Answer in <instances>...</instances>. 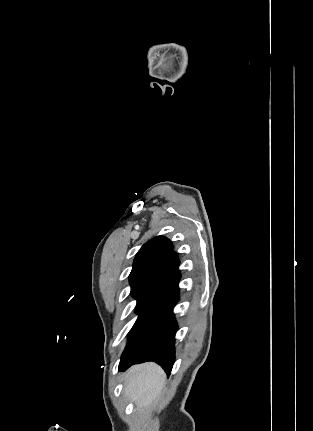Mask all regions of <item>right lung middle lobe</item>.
<instances>
[{
  "label": "right lung middle lobe",
  "instance_id": "obj_1",
  "mask_svg": "<svg viewBox=\"0 0 313 431\" xmlns=\"http://www.w3.org/2000/svg\"><path fill=\"white\" fill-rule=\"evenodd\" d=\"M137 298V310L136 312H139L142 307L145 305V303L147 302L148 298H142V297H136Z\"/></svg>",
  "mask_w": 313,
  "mask_h": 431
}]
</instances>
